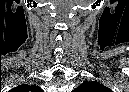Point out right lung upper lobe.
I'll list each match as a JSON object with an SVG mask.
<instances>
[{
    "label": "right lung upper lobe",
    "mask_w": 129,
    "mask_h": 92,
    "mask_svg": "<svg viewBox=\"0 0 129 92\" xmlns=\"http://www.w3.org/2000/svg\"><path fill=\"white\" fill-rule=\"evenodd\" d=\"M20 88H25L26 90H34L36 92H41L42 91L39 87H37L35 85H31V86H29V85H23Z\"/></svg>",
    "instance_id": "obj_1"
}]
</instances>
